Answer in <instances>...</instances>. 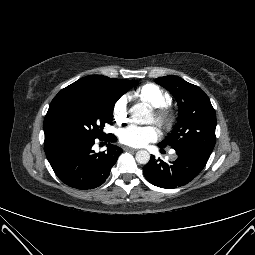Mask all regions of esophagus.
<instances>
[{
    "mask_svg": "<svg viewBox=\"0 0 255 255\" xmlns=\"http://www.w3.org/2000/svg\"><path fill=\"white\" fill-rule=\"evenodd\" d=\"M123 150H124V151H131V152L136 151V149L131 148V147H128V146H124V147H123Z\"/></svg>",
    "mask_w": 255,
    "mask_h": 255,
    "instance_id": "esophagus-1",
    "label": "esophagus"
}]
</instances>
